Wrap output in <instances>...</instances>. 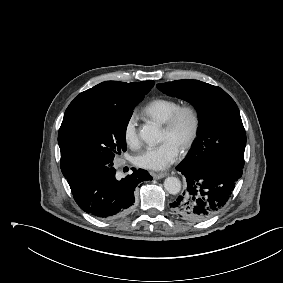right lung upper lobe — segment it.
<instances>
[{
    "label": "right lung upper lobe",
    "mask_w": 283,
    "mask_h": 283,
    "mask_svg": "<svg viewBox=\"0 0 283 283\" xmlns=\"http://www.w3.org/2000/svg\"><path fill=\"white\" fill-rule=\"evenodd\" d=\"M153 86L154 81L133 83L106 81L80 93L68 107L78 104L110 105L127 103L146 95ZM73 173H68L65 177L68 178Z\"/></svg>",
    "instance_id": "1"
}]
</instances>
